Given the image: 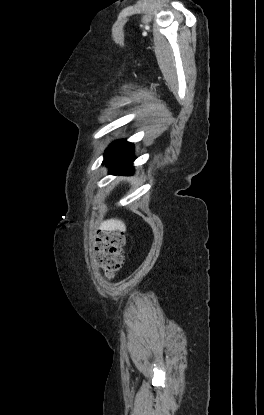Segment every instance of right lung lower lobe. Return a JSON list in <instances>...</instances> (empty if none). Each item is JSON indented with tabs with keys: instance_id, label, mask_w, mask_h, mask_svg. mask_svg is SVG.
Returning a JSON list of instances; mask_svg holds the SVG:
<instances>
[{
	"instance_id": "obj_1",
	"label": "right lung lower lobe",
	"mask_w": 264,
	"mask_h": 415,
	"mask_svg": "<svg viewBox=\"0 0 264 415\" xmlns=\"http://www.w3.org/2000/svg\"><path fill=\"white\" fill-rule=\"evenodd\" d=\"M132 143L122 141L113 142L106 150L104 161L110 173H131L134 161Z\"/></svg>"
}]
</instances>
